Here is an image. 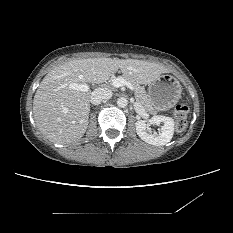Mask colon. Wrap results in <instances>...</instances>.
I'll return each mask as SVG.
<instances>
[{
	"label": "colon",
	"instance_id": "obj_1",
	"mask_svg": "<svg viewBox=\"0 0 233 233\" xmlns=\"http://www.w3.org/2000/svg\"><path fill=\"white\" fill-rule=\"evenodd\" d=\"M189 107L186 104H178L174 109L175 128L183 131L187 126Z\"/></svg>",
	"mask_w": 233,
	"mask_h": 233
}]
</instances>
